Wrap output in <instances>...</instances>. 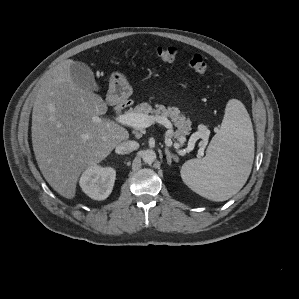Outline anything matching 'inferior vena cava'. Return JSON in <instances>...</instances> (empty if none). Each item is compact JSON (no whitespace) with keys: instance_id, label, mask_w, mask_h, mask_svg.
Segmentation results:
<instances>
[{"instance_id":"inferior-vena-cava-1","label":"inferior vena cava","mask_w":299,"mask_h":299,"mask_svg":"<svg viewBox=\"0 0 299 299\" xmlns=\"http://www.w3.org/2000/svg\"><path fill=\"white\" fill-rule=\"evenodd\" d=\"M139 147V144L136 141H123L116 146V152L118 154H128L136 150Z\"/></svg>"}]
</instances>
